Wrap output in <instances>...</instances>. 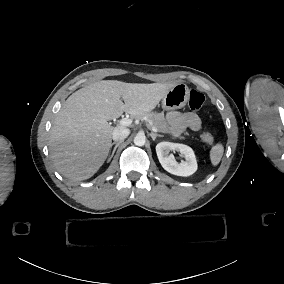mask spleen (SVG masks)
I'll return each mask as SVG.
<instances>
[{"label":"spleen","instance_id":"1","mask_svg":"<svg viewBox=\"0 0 284 284\" xmlns=\"http://www.w3.org/2000/svg\"><path fill=\"white\" fill-rule=\"evenodd\" d=\"M223 154L224 144L222 142H217L211 147L209 151V158L213 167H216L220 163Z\"/></svg>","mask_w":284,"mask_h":284}]
</instances>
